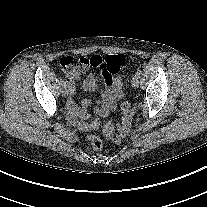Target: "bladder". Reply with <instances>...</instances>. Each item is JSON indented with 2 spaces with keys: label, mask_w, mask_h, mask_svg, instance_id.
<instances>
[{
  "label": "bladder",
  "mask_w": 207,
  "mask_h": 207,
  "mask_svg": "<svg viewBox=\"0 0 207 207\" xmlns=\"http://www.w3.org/2000/svg\"><path fill=\"white\" fill-rule=\"evenodd\" d=\"M83 88L85 90H91L94 87V79L92 76H87L84 80H83Z\"/></svg>",
  "instance_id": "31cf9c89"
}]
</instances>
